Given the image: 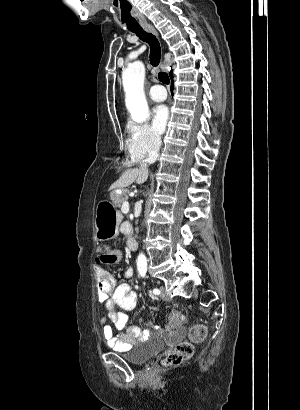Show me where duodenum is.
<instances>
[{"mask_svg": "<svg viewBox=\"0 0 300 410\" xmlns=\"http://www.w3.org/2000/svg\"><path fill=\"white\" fill-rule=\"evenodd\" d=\"M128 247H129L130 250H135L136 247H137L135 241H133V240L130 241L129 244H128Z\"/></svg>", "mask_w": 300, "mask_h": 410, "instance_id": "410a0bca", "label": "duodenum"}]
</instances>
